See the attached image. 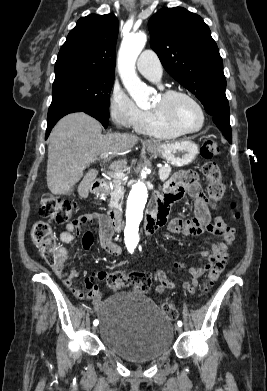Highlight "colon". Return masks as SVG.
<instances>
[{"label": "colon", "mask_w": 267, "mask_h": 391, "mask_svg": "<svg viewBox=\"0 0 267 391\" xmlns=\"http://www.w3.org/2000/svg\"><path fill=\"white\" fill-rule=\"evenodd\" d=\"M219 152V146L213 139L204 140L201 147V155L206 160L202 166V173L207 182V193L213 203L220 202L226 192L225 184L222 181V171L219 165L210 159ZM76 208V203L72 200L57 198L51 195H45L41 201L40 215L49 218L56 223L63 224L72 222V214ZM234 218L239 217L236 209V203L231 204ZM31 238L34 245L42 254L44 260L51 266L58 261V247L56 238L50 227L45 221L36 222L31 230ZM227 255L223 254L210 268L205 278L204 287H210L221 276L227 265ZM108 286L117 291L123 286L129 285L136 292L146 294L150 290L151 275L149 272L136 271L124 275L121 273L111 274L108 277ZM162 311L169 320H175L178 316L177 309L171 303H164Z\"/></svg>", "instance_id": "colon-1"}]
</instances>
